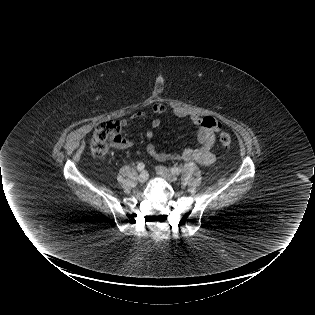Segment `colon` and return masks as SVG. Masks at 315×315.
<instances>
[{
  "label": "colon",
  "instance_id": "1",
  "mask_svg": "<svg viewBox=\"0 0 315 315\" xmlns=\"http://www.w3.org/2000/svg\"><path fill=\"white\" fill-rule=\"evenodd\" d=\"M123 142L122 126L116 121H104L98 124L92 138V151L96 156L103 155L110 147ZM221 145L228 147L232 138L228 133L219 136Z\"/></svg>",
  "mask_w": 315,
  "mask_h": 315
}]
</instances>
